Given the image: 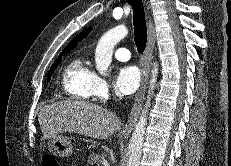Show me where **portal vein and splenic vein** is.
I'll list each match as a JSON object with an SVG mask.
<instances>
[{
	"label": "portal vein and splenic vein",
	"mask_w": 231,
	"mask_h": 166,
	"mask_svg": "<svg viewBox=\"0 0 231 166\" xmlns=\"http://www.w3.org/2000/svg\"><path fill=\"white\" fill-rule=\"evenodd\" d=\"M107 163V161L106 160H103V164H106Z\"/></svg>",
	"instance_id": "obj_1"
}]
</instances>
